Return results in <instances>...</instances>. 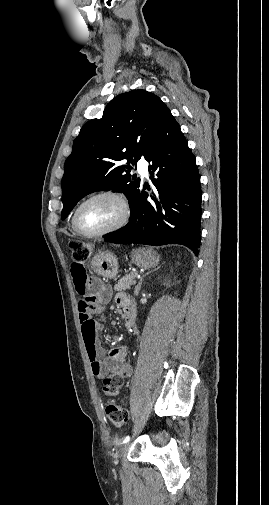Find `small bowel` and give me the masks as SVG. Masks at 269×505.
<instances>
[{
	"label": "small bowel",
	"mask_w": 269,
	"mask_h": 505,
	"mask_svg": "<svg viewBox=\"0 0 269 505\" xmlns=\"http://www.w3.org/2000/svg\"><path fill=\"white\" fill-rule=\"evenodd\" d=\"M82 267L83 262L80 259H75L72 262L71 276L75 286L74 292L79 297L77 302L79 320L92 372L98 378H104L111 373L123 380L133 373V365L128 359L127 349L117 347L106 354L97 337L102 330V326L92 318V315L104 314L105 307L102 302L109 299L110 289L100 283H94L93 288L97 297L94 298L92 290L89 289V275L86 269ZM116 302L121 307H124L125 304L132 305L130 298L123 293L117 295Z\"/></svg>",
	"instance_id": "small-bowel-1"
}]
</instances>
